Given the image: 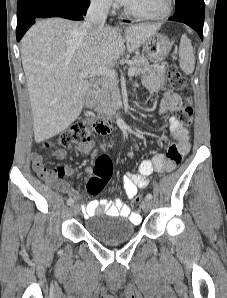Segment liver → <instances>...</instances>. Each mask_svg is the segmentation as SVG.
<instances>
[{"label": "liver", "instance_id": "liver-1", "mask_svg": "<svg viewBox=\"0 0 227 298\" xmlns=\"http://www.w3.org/2000/svg\"><path fill=\"white\" fill-rule=\"evenodd\" d=\"M81 27L63 18L40 20L22 39V65L37 143L64 131L80 115L89 88L87 79L78 77L80 73L114 65L125 49L133 52L160 29V25H133L123 39L111 27L95 33H85Z\"/></svg>", "mask_w": 227, "mask_h": 298}]
</instances>
